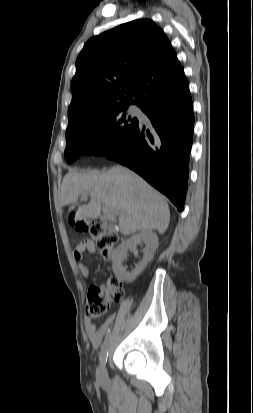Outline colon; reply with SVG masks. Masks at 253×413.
I'll return each mask as SVG.
<instances>
[{"instance_id": "obj_1", "label": "colon", "mask_w": 253, "mask_h": 413, "mask_svg": "<svg viewBox=\"0 0 253 413\" xmlns=\"http://www.w3.org/2000/svg\"><path fill=\"white\" fill-rule=\"evenodd\" d=\"M70 222L80 232L88 233L90 240L105 259H109L111 251L118 242L116 233L106 230L101 224L89 220L77 221L74 214L70 215ZM123 297L121 282L115 277L93 284L88 289L86 314L91 318L104 315L110 305L119 302Z\"/></svg>"}]
</instances>
